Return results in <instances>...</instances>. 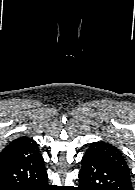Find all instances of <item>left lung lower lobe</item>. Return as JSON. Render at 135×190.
I'll list each match as a JSON object with an SVG mask.
<instances>
[{
    "label": "left lung lower lobe",
    "instance_id": "0a47b994",
    "mask_svg": "<svg viewBox=\"0 0 135 190\" xmlns=\"http://www.w3.org/2000/svg\"><path fill=\"white\" fill-rule=\"evenodd\" d=\"M78 190H133L130 177L104 159L85 154Z\"/></svg>",
    "mask_w": 135,
    "mask_h": 190
}]
</instances>
